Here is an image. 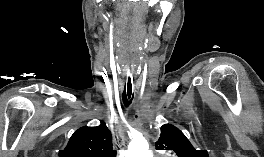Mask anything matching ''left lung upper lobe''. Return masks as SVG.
<instances>
[{
  "label": "left lung upper lobe",
  "mask_w": 264,
  "mask_h": 157,
  "mask_svg": "<svg viewBox=\"0 0 264 157\" xmlns=\"http://www.w3.org/2000/svg\"><path fill=\"white\" fill-rule=\"evenodd\" d=\"M156 148L158 150H173L177 157H209L206 150H196L185 135L171 124L161 127Z\"/></svg>",
  "instance_id": "1"
}]
</instances>
